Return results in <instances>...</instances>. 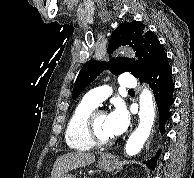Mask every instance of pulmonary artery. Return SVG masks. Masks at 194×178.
<instances>
[{"mask_svg":"<svg viewBox=\"0 0 194 178\" xmlns=\"http://www.w3.org/2000/svg\"><path fill=\"white\" fill-rule=\"evenodd\" d=\"M119 85L121 88L134 89L137 87V81L131 74H123L120 78ZM111 94V88L107 85L97 87L89 91L84 100L88 103L98 106L101 102L109 97Z\"/></svg>","mask_w":194,"mask_h":178,"instance_id":"1","label":"pulmonary artery"}]
</instances>
